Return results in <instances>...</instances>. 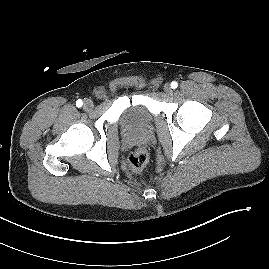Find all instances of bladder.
Segmentation results:
<instances>
[{
    "label": "bladder",
    "mask_w": 269,
    "mask_h": 269,
    "mask_svg": "<svg viewBox=\"0 0 269 269\" xmlns=\"http://www.w3.org/2000/svg\"><path fill=\"white\" fill-rule=\"evenodd\" d=\"M151 123L152 114L143 102L131 104L121 116V125L129 131H145Z\"/></svg>",
    "instance_id": "bladder-1"
}]
</instances>
